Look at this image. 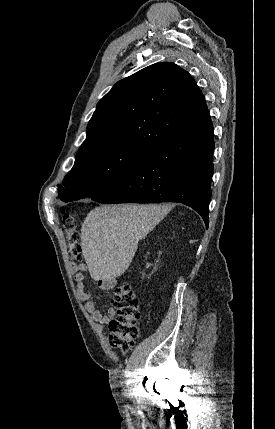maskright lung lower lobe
<instances>
[{
  "instance_id": "98d812e1",
  "label": "right lung lower lobe",
  "mask_w": 275,
  "mask_h": 429,
  "mask_svg": "<svg viewBox=\"0 0 275 429\" xmlns=\"http://www.w3.org/2000/svg\"><path fill=\"white\" fill-rule=\"evenodd\" d=\"M213 125L161 145L131 173L91 197L101 203H183L208 227L213 175Z\"/></svg>"
}]
</instances>
